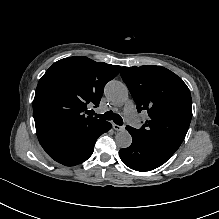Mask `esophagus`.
Instances as JSON below:
<instances>
[{
    "label": "esophagus",
    "instance_id": "34e87169",
    "mask_svg": "<svg viewBox=\"0 0 219 219\" xmlns=\"http://www.w3.org/2000/svg\"><path fill=\"white\" fill-rule=\"evenodd\" d=\"M113 129L116 131H123L125 129V126H120L117 124H113Z\"/></svg>",
    "mask_w": 219,
    "mask_h": 219
}]
</instances>
